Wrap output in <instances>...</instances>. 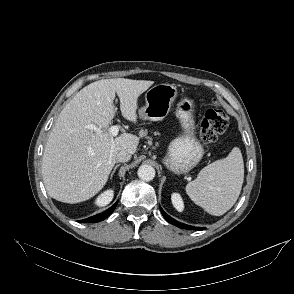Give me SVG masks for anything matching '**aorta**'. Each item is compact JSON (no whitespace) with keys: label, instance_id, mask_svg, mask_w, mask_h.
I'll list each match as a JSON object with an SVG mask.
<instances>
[{"label":"aorta","instance_id":"762f6f07","mask_svg":"<svg viewBox=\"0 0 294 294\" xmlns=\"http://www.w3.org/2000/svg\"><path fill=\"white\" fill-rule=\"evenodd\" d=\"M138 177L143 181H151L155 177V169L151 165L144 164L138 169Z\"/></svg>","mask_w":294,"mask_h":294}]
</instances>
